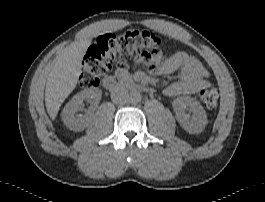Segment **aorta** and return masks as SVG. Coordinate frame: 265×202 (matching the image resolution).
I'll list each match as a JSON object with an SVG mask.
<instances>
[{
  "mask_svg": "<svg viewBox=\"0 0 265 202\" xmlns=\"http://www.w3.org/2000/svg\"><path fill=\"white\" fill-rule=\"evenodd\" d=\"M142 99L141 93L139 91L136 90H132L129 93V98L128 101L132 104H136L139 103Z\"/></svg>",
  "mask_w": 265,
  "mask_h": 202,
  "instance_id": "1",
  "label": "aorta"
}]
</instances>
